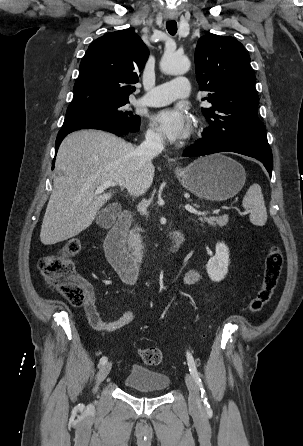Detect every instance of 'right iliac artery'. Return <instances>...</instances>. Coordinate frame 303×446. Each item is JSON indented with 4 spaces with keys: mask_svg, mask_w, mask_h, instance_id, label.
I'll list each match as a JSON object with an SVG mask.
<instances>
[{
    "mask_svg": "<svg viewBox=\"0 0 303 446\" xmlns=\"http://www.w3.org/2000/svg\"><path fill=\"white\" fill-rule=\"evenodd\" d=\"M107 362V357L103 356L100 361H99V365H103Z\"/></svg>",
    "mask_w": 303,
    "mask_h": 446,
    "instance_id": "1",
    "label": "right iliac artery"
}]
</instances>
